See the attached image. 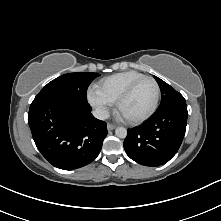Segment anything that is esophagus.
Here are the masks:
<instances>
[{
	"instance_id": "1",
	"label": "esophagus",
	"mask_w": 221,
	"mask_h": 221,
	"mask_svg": "<svg viewBox=\"0 0 221 221\" xmlns=\"http://www.w3.org/2000/svg\"><path fill=\"white\" fill-rule=\"evenodd\" d=\"M115 127H116V126L113 125V124H111V123H108V124H107V129H108L109 131L115 129Z\"/></svg>"
}]
</instances>
